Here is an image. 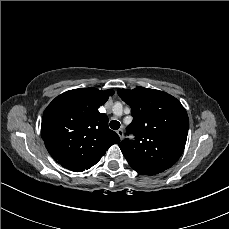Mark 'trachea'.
Returning <instances> with one entry per match:
<instances>
[{"label":"trachea","mask_w":229,"mask_h":229,"mask_svg":"<svg viewBox=\"0 0 229 229\" xmlns=\"http://www.w3.org/2000/svg\"><path fill=\"white\" fill-rule=\"evenodd\" d=\"M120 122H118V121H116V120H112L111 122H110V127H111V129H113V130H117V129H119L120 128Z\"/></svg>","instance_id":"trachea-1"}]
</instances>
